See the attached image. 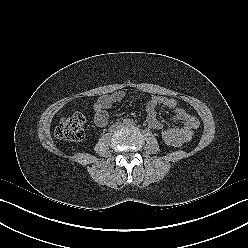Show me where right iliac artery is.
Segmentation results:
<instances>
[{"label":"right iliac artery","mask_w":248,"mask_h":248,"mask_svg":"<svg viewBox=\"0 0 248 248\" xmlns=\"http://www.w3.org/2000/svg\"><path fill=\"white\" fill-rule=\"evenodd\" d=\"M123 123H124V124H128L129 121H128L127 119H124Z\"/></svg>","instance_id":"right-iliac-artery-1"}]
</instances>
